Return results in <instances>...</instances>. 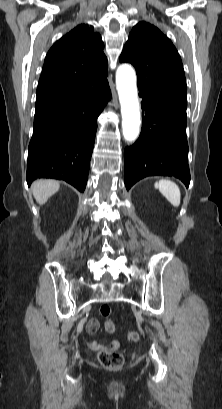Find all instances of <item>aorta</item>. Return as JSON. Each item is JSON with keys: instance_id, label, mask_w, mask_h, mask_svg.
<instances>
[{"instance_id": "762f6f07", "label": "aorta", "mask_w": 222, "mask_h": 409, "mask_svg": "<svg viewBox=\"0 0 222 409\" xmlns=\"http://www.w3.org/2000/svg\"><path fill=\"white\" fill-rule=\"evenodd\" d=\"M116 85L122 114V131L125 141L134 142L140 132V109L137 96L136 75L127 64L118 67Z\"/></svg>"}]
</instances>
